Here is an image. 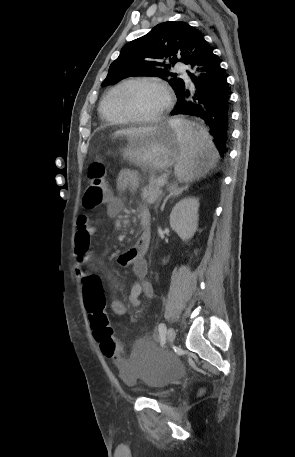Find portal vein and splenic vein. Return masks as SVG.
Listing matches in <instances>:
<instances>
[{"label": "portal vein and splenic vein", "mask_w": 295, "mask_h": 457, "mask_svg": "<svg viewBox=\"0 0 295 457\" xmlns=\"http://www.w3.org/2000/svg\"><path fill=\"white\" fill-rule=\"evenodd\" d=\"M165 184H166V179H165V178H160V179L158 180V185H159V186H164Z\"/></svg>", "instance_id": "1"}]
</instances>
